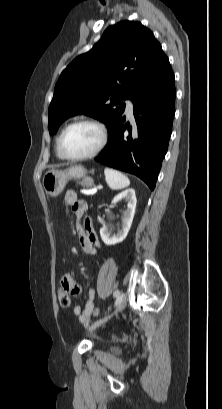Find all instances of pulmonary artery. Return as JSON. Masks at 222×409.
I'll use <instances>...</instances> for the list:
<instances>
[{
  "mask_svg": "<svg viewBox=\"0 0 222 409\" xmlns=\"http://www.w3.org/2000/svg\"><path fill=\"white\" fill-rule=\"evenodd\" d=\"M126 112L127 116L132 119L133 118V104L130 100L126 101Z\"/></svg>",
  "mask_w": 222,
  "mask_h": 409,
  "instance_id": "obj_1",
  "label": "pulmonary artery"
}]
</instances>
